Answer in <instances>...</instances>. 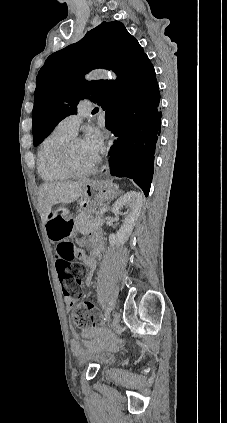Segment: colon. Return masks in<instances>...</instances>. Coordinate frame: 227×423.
Instances as JSON below:
<instances>
[{"label":"colon","instance_id":"colon-1","mask_svg":"<svg viewBox=\"0 0 227 423\" xmlns=\"http://www.w3.org/2000/svg\"><path fill=\"white\" fill-rule=\"evenodd\" d=\"M72 232L70 222H60L53 226L51 235L56 243L55 258L56 269L65 297L77 298L78 286L85 277V269L76 263V249L69 241ZM74 322L81 328H94L97 323V314L91 302H83L74 312Z\"/></svg>","mask_w":227,"mask_h":423}]
</instances>
